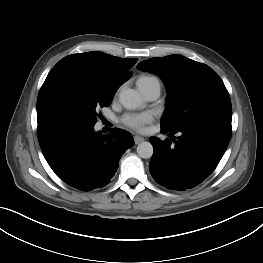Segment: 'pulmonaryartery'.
Listing matches in <instances>:
<instances>
[{
  "label": "pulmonary artery",
  "mask_w": 263,
  "mask_h": 263,
  "mask_svg": "<svg viewBox=\"0 0 263 263\" xmlns=\"http://www.w3.org/2000/svg\"><path fill=\"white\" fill-rule=\"evenodd\" d=\"M137 87L143 97L148 101L158 99L161 93V83L156 78L139 80Z\"/></svg>",
  "instance_id": "pulmonary-artery-1"
}]
</instances>
